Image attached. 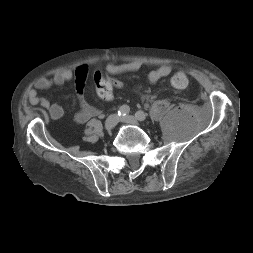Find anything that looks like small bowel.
Masks as SVG:
<instances>
[{"instance_id": "obj_1", "label": "small bowel", "mask_w": 253, "mask_h": 253, "mask_svg": "<svg viewBox=\"0 0 253 253\" xmlns=\"http://www.w3.org/2000/svg\"><path fill=\"white\" fill-rule=\"evenodd\" d=\"M142 67L140 61H130L118 63L111 61L106 65V70L112 75H120L129 72H135ZM172 72V67L168 64L161 65L148 74V82L151 85L156 84L160 79L168 76ZM88 76V68L86 65H79L75 70H64L54 74L50 78H40L35 83V88L31 89L28 94L29 103L31 105H40L48 111L52 120L60 119L64 114V109L59 103H50L46 98L39 95L40 90H46L53 86H60L64 83L74 80L78 101L80 105L79 111L75 114V120L78 123H86L91 118L100 115V110L89 103L84 98L83 89L86 78Z\"/></svg>"}]
</instances>
